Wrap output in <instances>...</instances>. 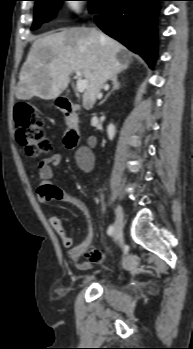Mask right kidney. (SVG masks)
<instances>
[{"mask_svg":"<svg viewBox=\"0 0 193 349\" xmlns=\"http://www.w3.org/2000/svg\"><path fill=\"white\" fill-rule=\"evenodd\" d=\"M115 133H116L115 126L112 123L109 124L107 127V134L110 140H113Z\"/></svg>","mask_w":193,"mask_h":349,"instance_id":"1","label":"right kidney"}]
</instances>
